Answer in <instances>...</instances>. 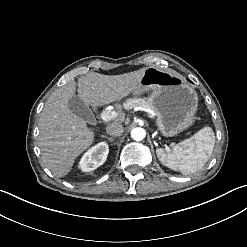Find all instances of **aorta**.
Segmentation results:
<instances>
[{
  "label": "aorta",
  "mask_w": 247,
  "mask_h": 247,
  "mask_svg": "<svg viewBox=\"0 0 247 247\" xmlns=\"http://www.w3.org/2000/svg\"><path fill=\"white\" fill-rule=\"evenodd\" d=\"M145 135L146 132L141 127H136L131 131V137L136 141H141L142 139H144Z\"/></svg>",
  "instance_id": "762f6f07"
}]
</instances>
